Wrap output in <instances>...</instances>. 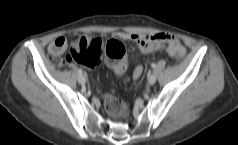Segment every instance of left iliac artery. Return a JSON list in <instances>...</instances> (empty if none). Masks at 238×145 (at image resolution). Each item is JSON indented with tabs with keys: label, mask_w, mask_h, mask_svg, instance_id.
<instances>
[{
	"label": "left iliac artery",
	"mask_w": 238,
	"mask_h": 145,
	"mask_svg": "<svg viewBox=\"0 0 238 145\" xmlns=\"http://www.w3.org/2000/svg\"><path fill=\"white\" fill-rule=\"evenodd\" d=\"M151 67H152V68H155V67H156V65L153 63V64H151Z\"/></svg>",
	"instance_id": "44dca946"
}]
</instances>
